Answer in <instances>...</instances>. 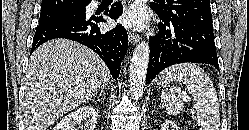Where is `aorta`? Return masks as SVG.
<instances>
[{"label": "aorta", "instance_id": "1", "mask_svg": "<svg viewBox=\"0 0 249 130\" xmlns=\"http://www.w3.org/2000/svg\"><path fill=\"white\" fill-rule=\"evenodd\" d=\"M149 53V44L145 41H141L136 46L130 61V91L132 98L136 101L140 100L144 94Z\"/></svg>", "mask_w": 249, "mask_h": 130}]
</instances>
